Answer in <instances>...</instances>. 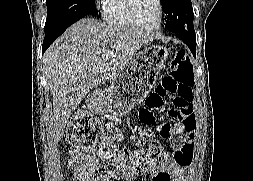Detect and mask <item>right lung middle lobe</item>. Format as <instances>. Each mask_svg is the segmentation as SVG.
I'll return each mask as SVG.
<instances>
[{
    "label": "right lung middle lobe",
    "instance_id": "1",
    "mask_svg": "<svg viewBox=\"0 0 253 181\" xmlns=\"http://www.w3.org/2000/svg\"><path fill=\"white\" fill-rule=\"evenodd\" d=\"M45 33L57 30L85 15H97L95 0H46Z\"/></svg>",
    "mask_w": 253,
    "mask_h": 181
}]
</instances>
